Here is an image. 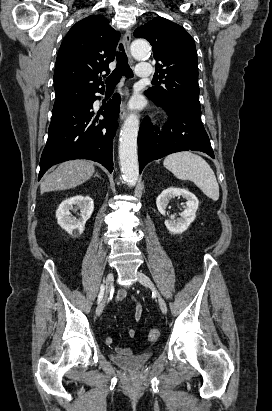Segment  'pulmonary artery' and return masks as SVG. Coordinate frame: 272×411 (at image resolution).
Returning <instances> with one entry per match:
<instances>
[{"mask_svg":"<svg viewBox=\"0 0 272 411\" xmlns=\"http://www.w3.org/2000/svg\"><path fill=\"white\" fill-rule=\"evenodd\" d=\"M136 71H137V75L140 78H145V79L150 78L152 74L151 65L149 63H144V62L139 63Z\"/></svg>","mask_w":272,"mask_h":411,"instance_id":"pulmonary-artery-1","label":"pulmonary artery"}]
</instances>
